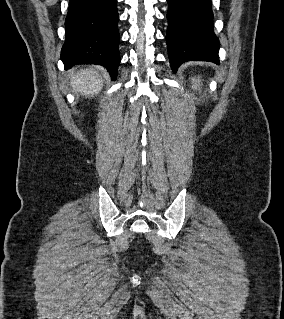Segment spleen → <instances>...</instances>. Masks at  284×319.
<instances>
[{
  "label": "spleen",
  "instance_id": "3e777b00",
  "mask_svg": "<svg viewBox=\"0 0 284 319\" xmlns=\"http://www.w3.org/2000/svg\"><path fill=\"white\" fill-rule=\"evenodd\" d=\"M192 80L195 82L193 87L196 89L197 86L199 85V79L198 80L192 79Z\"/></svg>",
  "mask_w": 284,
  "mask_h": 319
}]
</instances>
